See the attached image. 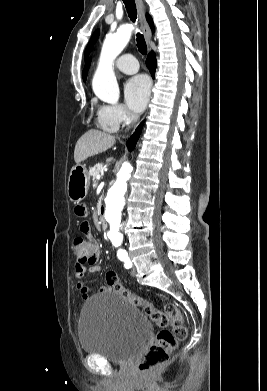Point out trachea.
I'll list each match as a JSON object with an SVG mask.
<instances>
[{
	"mask_svg": "<svg viewBox=\"0 0 267 391\" xmlns=\"http://www.w3.org/2000/svg\"><path fill=\"white\" fill-rule=\"evenodd\" d=\"M128 16L131 19L132 22L136 21L137 18V9L136 4L134 0H123ZM137 38V47L141 54L146 55L147 54V45L144 39V36L141 33L136 34Z\"/></svg>",
	"mask_w": 267,
	"mask_h": 391,
	"instance_id": "3493384b",
	"label": "trachea"
}]
</instances>
